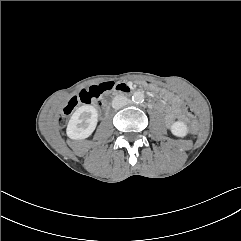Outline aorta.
Listing matches in <instances>:
<instances>
[{"instance_id": "762f6f07", "label": "aorta", "mask_w": 241, "mask_h": 241, "mask_svg": "<svg viewBox=\"0 0 241 241\" xmlns=\"http://www.w3.org/2000/svg\"><path fill=\"white\" fill-rule=\"evenodd\" d=\"M132 100L136 103H141L144 101V93L141 91H136L133 93Z\"/></svg>"}]
</instances>
